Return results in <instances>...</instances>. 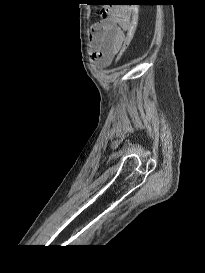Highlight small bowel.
<instances>
[{
    "instance_id": "1",
    "label": "small bowel",
    "mask_w": 205,
    "mask_h": 273,
    "mask_svg": "<svg viewBox=\"0 0 205 273\" xmlns=\"http://www.w3.org/2000/svg\"><path fill=\"white\" fill-rule=\"evenodd\" d=\"M131 15L117 6L102 10V18L91 26L90 49L99 67L109 66L127 40Z\"/></svg>"
}]
</instances>
